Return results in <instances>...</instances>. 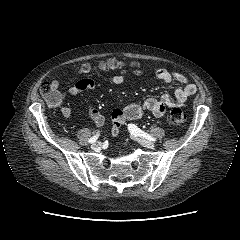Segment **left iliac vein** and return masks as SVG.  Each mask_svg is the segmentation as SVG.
Returning a JSON list of instances; mask_svg holds the SVG:
<instances>
[{
    "label": "left iliac vein",
    "mask_w": 240,
    "mask_h": 240,
    "mask_svg": "<svg viewBox=\"0 0 240 240\" xmlns=\"http://www.w3.org/2000/svg\"><path fill=\"white\" fill-rule=\"evenodd\" d=\"M134 137L144 147H147V148H150V149H153L155 147V144L148 139H145V138L139 137V136H134Z\"/></svg>",
    "instance_id": "4c4485c4"
}]
</instances>
